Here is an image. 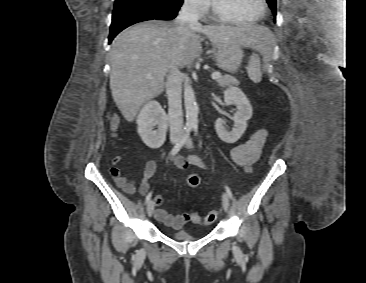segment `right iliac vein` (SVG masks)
Segmentation results:
<instances>
[{"instance_id":"obj_1","label":"right iliac vein","mask_w":366,"mask_h":283,"mask_svg":"<svg viewBox=\"0 0 366 283\" xmlns=\"http://www.w3.org/2000/svg\"><path fill=\"white\" fill-rule=\"evenodd\" d=\"M179 140H180L179 135H174V136L171 137V142L173 144H176L177 142H179ZM153 211H154V203H153V201H150L147 204V214H148V216H152Z\"/></svg>"}]
</instances>
